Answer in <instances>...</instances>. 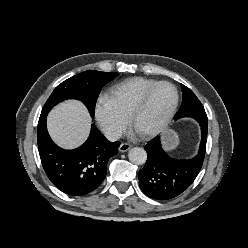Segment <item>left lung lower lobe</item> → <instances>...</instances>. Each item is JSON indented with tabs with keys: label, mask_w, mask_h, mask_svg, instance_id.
Instances as JSON below:
<instances>
[{
	"label": "left lung lower lobe",
	"mask_w": 248,
	"mask_h": 248,
	"mask_svg": "<svg viewBox=\"0 0 248 248\" xmlns=\"http://www.w3.org/2000/svg\"><path fill=\"white\" fill-rule=\"evenodd\" d=\"M201 127L198 154L188 160L174 159L161 147L160 137L145 146L147 161L139 171V185L150 198L168 200L185 191L197 177L205 157L208 119L193 117Z\"/></svg>",
	"instance_id": "0a47b994"
}]
</instances>
